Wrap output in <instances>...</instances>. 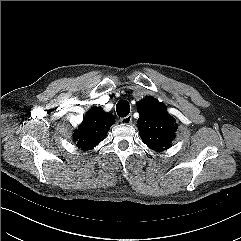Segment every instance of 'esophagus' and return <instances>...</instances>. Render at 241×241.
<instances>
[{"label":"esophagus","instance_id":"esophagus-1","mask_svg":"<svg viewBox=\"0 0 241 241\" xmlns=\"http://www.w3.org/2000/svg\"><path fill=\"white\" fill-rule=\"evenodd\" d=\"M120 122L123 124H130L132 122V115L121 118Z\"/></svg>","mask_w":241,"mask_h":241}]
</instances>
